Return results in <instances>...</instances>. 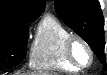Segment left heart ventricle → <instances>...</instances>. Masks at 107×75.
I'll return each instance as SVG.
<instances>
[{
	"mask_svg": "<svg viewBox=\"0 0 107 75\" xmlns=\"http://www.w3.org/2000/svg\"><path fill=\"white\" fill-rule=\"evenodd\" d=\"M73 53L75 58L82 64H86L89 61V53L87 49L79 42H76L73 46Z\"/></svg>",
	"mask_w": 107,
	"mask_h": 75,
	"instance_id": "b2bd125f",
	"label": "left heart ventricle"
}]
</instances>
